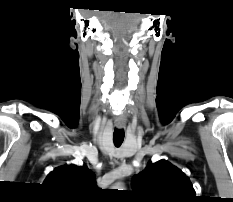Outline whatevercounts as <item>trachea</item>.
I'll use <instances>...</instances> for the list:
<instances>
[{"instance_id":"1","label":"trachea","mask_w":233,"mask_h":202,"mask_svg":"<svg viewBox=\"0 0 233 202\" xmlns=\"http://www.w3.org/2000/svg\"><path fill=\"white\" fill-rule=\"evenodd\" d=\"M124 140V130L115 129L113 133V141L116 147H119Z\"/></svg>"}]
</instances>
